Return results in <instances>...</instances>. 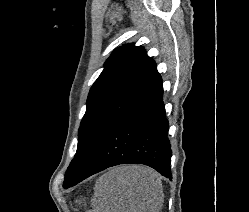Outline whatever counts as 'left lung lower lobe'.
<instances>
[{
	"label": "left lung lower lobe",
	"instance_id": "0a47b994",
	"mask_svg": "<svg viewBox=\"0 0 249 212\" xmlns=\"http://www.w3.org/2000/svg\"><path fill=\"white\" fill-rule=\"evenodd\" d=\"M168 129L162 79L157 74L110 129L80 177L64 188L120 164L148 165L166 178L172 179V151L167 137Z\"/></svg>",
	"mask_w": 249,
	"mask_h": 212
}]
</instances>
